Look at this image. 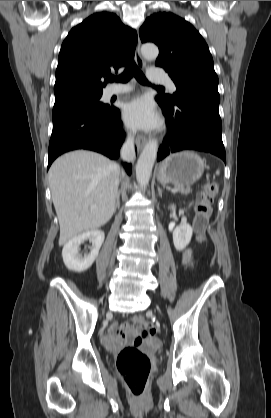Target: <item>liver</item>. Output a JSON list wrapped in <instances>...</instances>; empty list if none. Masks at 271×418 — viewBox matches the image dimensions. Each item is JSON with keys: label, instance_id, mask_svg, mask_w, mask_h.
<instances>
[{"label": "liver", "instance_id": "6515ba94", "mask_svg": "<svg viewBox=\"0 0 271 418\" xmlns=\"http://www.w3.org/2000/svg\"><path fill=\"white\" fill-rule=\"evenodd\" d=\"M48 175L60 225V246L111 219L120 176L115 162L95 152L78 150L55 160Z\"/></svg>", "mask_w": 271, "mask_h": 418}]
</instances>
